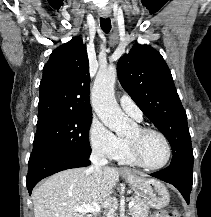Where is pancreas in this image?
Here are the masks:
<instances>
[{
  "instance_id": "pancreas-1",
  "label": "pancreas",
  "mask_w": 211,
  "mask_h": 217,
  "mask_svg": "<svg viewBox=\"0 0 211 217\" xmlns=\"http://www.w3.org/2000/svg\"><path fill=\"white\" fill-rule=\"evenodd\" d=\"M134 206L130 209L129 214L132 217H148L149 205L144 198L134 197L132 198Z\"/></svg>"
}]
</instances>
